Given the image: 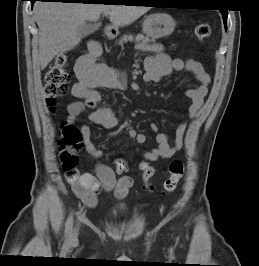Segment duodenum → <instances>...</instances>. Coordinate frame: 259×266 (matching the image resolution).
I'll return each mask as SVG.
<instances>
[{
  "label": "duodenum",
  "instance_id": "410a0bca",
  "mask_svg": "<svg viewBox=\"0 0 259 266\" xmlns=\"http://www.w3.org/2000/svg\"><path fill=\"white\" fill-rule=\"evenodd\" d=\"M104 35H105V37H106L107 39H111V38H113V36H114V31L112 30V28H110V27H106V28L104 29ZM90 51H91L93 54L97 55V54L99 53V51H100V47H99L97 44H93V45L91 46V48H90Z\"/></svg>",
  "mask_w": 259,
  "mask_h": 266
}]
</instances>
